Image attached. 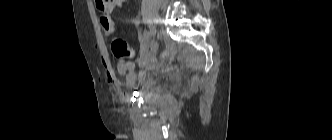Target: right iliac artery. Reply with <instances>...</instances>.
<instances>
[{"label":"right iliac artery","instance_id":"1","mask_svg":"<svg viewBox=\"0 0 332 140\" xmlns=\"http://www.w3.org/2000/svg\"><path fill=\"white\" fill-rule=\"evenodd\" d=\"M151 29H152V27L149 25L143 32V38H142V41L144 43L143 50H145L148 46Z\"/></svg>","mask_w":332,"mask_h":140}]
</instances>
